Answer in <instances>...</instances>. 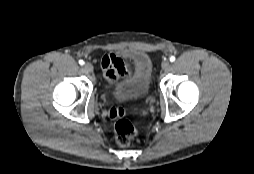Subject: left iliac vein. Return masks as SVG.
<instances>
[{
    "instance_id": "4c4485c4",
    "label": "left iliac vein",
    "mask_w": 254,
    "mask_h": 174,
    "mask_svg": "<svg viewBox=\"0 0 254 174\" xmlns=\"http://www.w3.org/2000/svg\"><path fill=\"white\" fill-rule=\"evenodd\" d=\"M170 67H171V63L168 60H166L162 63L163 70H168Z\"/></svg>"
}]
</instances>
